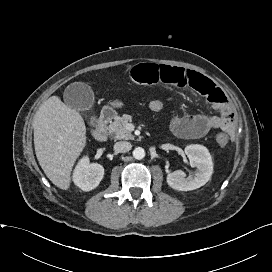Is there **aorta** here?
Here are the masks:
<instances>
[{"label": "aorta", "instance_id": "1", "mask_svg": "<svg viewBox=\"0 0 272 272\" xmlns=\"http://www.w3.org/2000/svg\"><path fill=\"white\" fill-rule=\"evenodd\" d=\"M133 157L137 160H141L145 157V150L142 147H137L133 150Z\"/></svg>", "mask_w": 272, "mask_h": 272}]
</instances>
